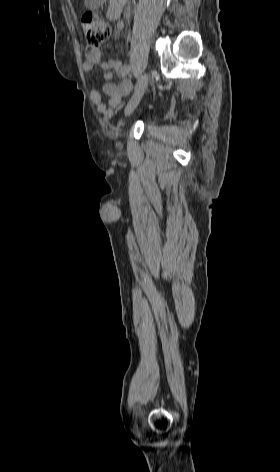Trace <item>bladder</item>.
Returning a JSON list of instances; mask_svg holds the SVG:
<instances>
[{"label": "bladder", "mask_w": 280, "mask_h": 472, "mask_svg": "<svg viewBox=\"0 0 280 472\" xmlns=\"http://www.w3.org/2000/svg\"><path fill=\"white\" fill-rule=\"evenodd\" d=\"M156 117V112L155 111H150L147 115H146V120H151L153 118Z\"/></svg>", "instance_id": "1"}]
</instances>
